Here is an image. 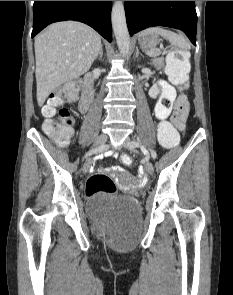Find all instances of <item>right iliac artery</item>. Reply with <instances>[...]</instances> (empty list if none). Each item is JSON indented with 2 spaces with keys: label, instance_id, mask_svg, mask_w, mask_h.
Listing matches in <instances>:
<instances>
[{
  "label": "right iliac artery",
  "instance_id": "82829eb1",
  "mask_svg": "<svg viewBox=\"0 0 233 295\" xmlns=\"http://www.w3.org/2000/svg\"><path fill=\"white\" fill-rule=\"evenodd\" d=\"M93 151H94V153H103L102 148H99V147L91 148V150L85 154V157L92 155Z\"/></svg>",
  "mask_w": 233,
  "mask_h": 295
}]
</instances>
